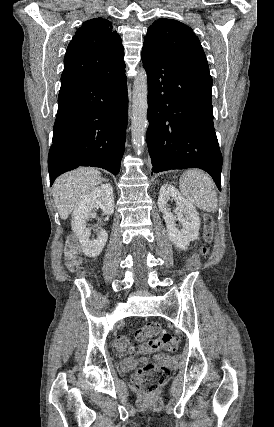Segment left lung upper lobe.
I'll list each match as a JSON object with an SVG mask.
<instances>
[{"mask_svg":"<svg viewBox=\"0 0 274 427\" xmlns=\"http://www.w3.org/2000/svg\"><path fill=\"white\" fill-rule=\"evenodd\" d=\"M144 43L159 49L178 64L209 74L208 62L198 37L190 27L179 21L158 19L148 28Z\"/></svg>","mask_w":274,"mask_h":427,"instance_id":"obj_1","label":"left lung upper lobe"}]
</instances>
